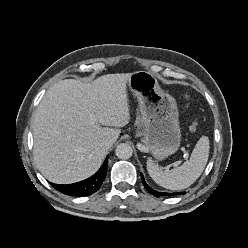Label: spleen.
Returning a JSON list of instances; mask_svg holds the SVG:
<instances>
[{
  "mask_svg": "<svg viewBox=\"0 0 248 248\" xmlns=\"http://www.w3.org/2000/svg\"><path fill=\"white\" fill-rule=\"evenodd\" d=\"M209 139L202 136L189 160L172 170H164L151 159L147 160L150 177L160 186L170 190H182L191 186L202 174L209 157Z\"/></svg>",
  "mask_w": 248,
  "mask_h": 248,
  "instance_id": "spleen-1",
  "label": "spleen"
}]
</instances>
